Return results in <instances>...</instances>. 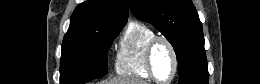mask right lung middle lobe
Returning <instances> with one entry per match:
<instances>
[{"instance_id":"right-lung-middle-lobe-1","label":"right lung middle lobe","mask_w":260,"mask_h":84,"mask_svg":"<svg viewBox=\"0 0 260 84\" xmlns=\"http://www.w3.org/2000/svg\"><path fill=\"white\" fill-rule=\"evenodd\" d=\"M122 25H104L89 39L63 42L60 83L83 84L107 73V53Z\"/></svg>"}]
</instances>
